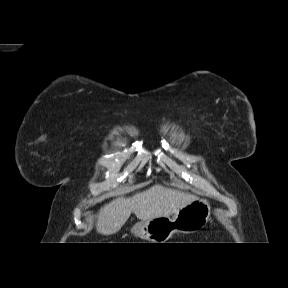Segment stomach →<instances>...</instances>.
Instances as JSON below:
<instances>
[{
  "instance_id": "1",
  "label": "stomach",
  "mask_w": 288,
  "mask_h": 288,
  "mask_svg": "<svg viewBox=\"0 0 288 288\" xmlns=\"http://www.w3.org/2000/svg\"><path fill=\"white\" fill-rule=\"evenodd\" d=\"M211 207L206 199L196 198L172 217L160 216L138 222L131 232L150 243H165L175 233H193L206 226Z\"/></svg>"
}]
</instances>
